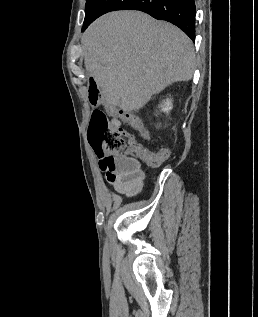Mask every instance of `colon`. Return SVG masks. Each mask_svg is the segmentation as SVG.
I'll return each mask as SVG.
<instances>
[{
  "label": "colon",
  "instance_id": "5ec220e1",
  "mask_svg": "<svg viewBox=\"0 0 258 317\" xmlns=\"http://www.w3.org/2000/svg\"><path fill=\"white\" fill-rule=\"evenodd\" d=\"M88 98L91 105L103 102V98L95 83L90 82ZM113 115L100 109L91 113L88 126V142L95 152L109 156H125L137 158L149 166H158L165 160V155L143 147L136 138L124 129L112 125Z\"/></svg>",
  "mask_w": 258,
  "mask_h": 317
}]
</instances>
